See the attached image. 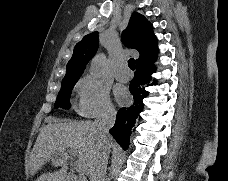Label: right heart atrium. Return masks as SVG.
Instances as JSON below:
<instances>
[{"mask_svg":"<svg viewBox=\"0 0 228 181\" xmlns=\"http://www.w3.org/2000/svg\"><path fill=\"white\" fill-rule=\"evenodd\" d=\"M113 110L109 87L98 76H87L81 84L80 114L84 117H99Z\"/></svg>","mask_w":228,"mask_h":181,"instance_id":"right-heart-atrium-1","label":"right heart atrium"}]
</instances>
